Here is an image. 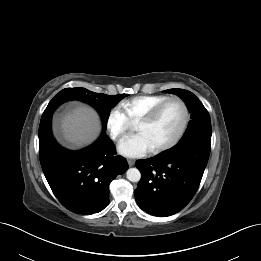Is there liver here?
<instances>
[{
  "mask_svg": "<svg viewBox=\"0 0 261 261\" xmlns=\"http://www.w3.org/2000/svg\"><path fill=\"white\" fill-rule=\"evenodd\" d=\"M61 128L64 138L68 142L81 147L93 142L98 137L101 125L95 110L81 106L63 118Z\"/></svg>",
  "mask_w": 261,
  "mask_h": 261,
  "instance_id": "6515ba94",
  "label": "liver"
}]
</instances>
